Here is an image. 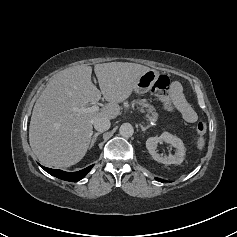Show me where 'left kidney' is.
Wrapping results in <instances>:
<instances>
[{
    "instance_id": "1",
    "label": "left kidney",
    "mask_w": 237,
    "mask_h": 237,
    "mask_svg": "<svg viewBox=\"0 0 237 237\" xmlns=\"http://www.w3.org/2000/svg\"><path fill=\"white\" fill-rule=\"evenodd\" d=\"M165 142L171 144L176 148L174 155L170 154L169 156H161L157 153V144ZM146 148L149 153L152 155L153 159L157 162L170 165V164H181L185 156V147L181 139L171 135L168 132H163L159 137H150L146 141Z\"/></svg>"
}]
</instances>
